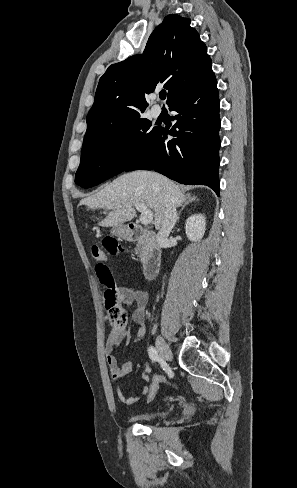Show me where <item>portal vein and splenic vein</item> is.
Returning a JSON list of instances; mask_svg holds the SVG:
<instances>
[{
	"label": "portal vein and splenic vein",
	"mask_w": 297,
	"mask_h": 488,
	"mask_svg": "<svg viewBox=\"0 0 297 488\" xmlns=\"http://www.w3.org/2000/svg\"><path fill=\"white\" fill-rule=\"evenodd\" d=\"M135 208L141 212L140 221L143 225L150 224L153 220V212L149 210L144 204L136 203Z\"/></svg>",
	"instance_id": "portal-vein-and-splenic-vein-1"
}]
</instances>
